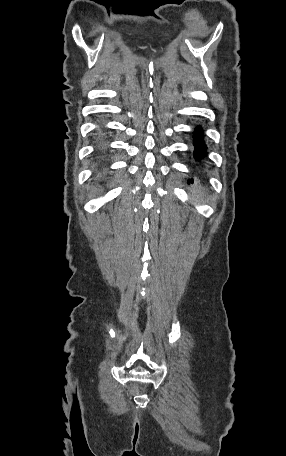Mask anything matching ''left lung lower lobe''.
<instances>
[{"mask_svg": "<svg viewBox=\"0 0 286 456\" xmlns=\"http://www.w3.org/2000/svg\"><path fill=\"white\" fill-rule=\"evenodd\" d=\"M194 144H195V151H194V156L196 158V160L200 161L201 159H203L205 156H206V146L202 140V129L200 126H198L196 129H195V132H194ZM191 182L193 183V181L191 180Z\"/></svg>", "mask_w": 286, "mask_h": 456, "instance_id": "0a47b994", "label": "left lung lower lobe"}]
</instances>
